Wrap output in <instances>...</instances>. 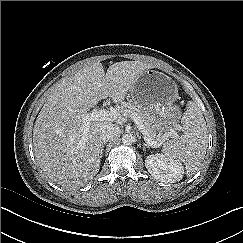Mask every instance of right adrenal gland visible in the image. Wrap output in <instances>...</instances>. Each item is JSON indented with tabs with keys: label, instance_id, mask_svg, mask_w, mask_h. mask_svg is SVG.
<instances>
[{
	"label": "right adrenal gland",
	"instance_id": "right-adrenal-gland-1",
	"mask_svg": "<svg viewBox=\"0 0 243 243\" xmlns=\"http://www.w3.org/2000/svg\"><path fill=\"white\" fill-rule=\"evenodd\" d=\"M106 143H107V142H104V143H102V145H101V149H100V158H102V156H103L104 146H105Z\"/></svg>",
	"mask_w": 243,
	"mask_h": 243
}]
</instances>
